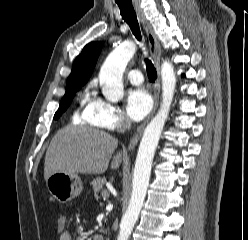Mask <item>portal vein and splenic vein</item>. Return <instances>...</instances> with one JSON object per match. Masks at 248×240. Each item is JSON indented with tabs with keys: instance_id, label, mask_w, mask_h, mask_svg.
Returning a JSON list of instances; mask_svg holds the SVG:
<instances>
[{
	"instance_id": "portal-vein-and-splenic-vein-1",
	"label": "portal vein and splenic vein",
	"mask_w": 248,
	"mask_h": 240,
	"mask_svg": "<svg viewBox=\"0 0 248 240\" xmlns=\"http://www.w3.org/2000/svg\"><path fill=\"white\" fill-rule=\"evenodd\" d=\"M102 196H103V198H108L109 197L108 191L107 190H103L102 191Z\"/></svg>"
}]
</instances>
